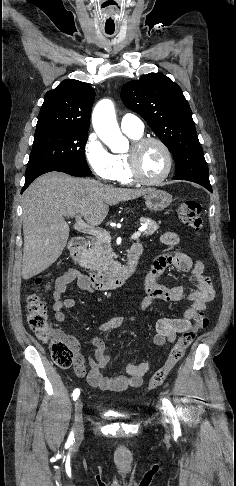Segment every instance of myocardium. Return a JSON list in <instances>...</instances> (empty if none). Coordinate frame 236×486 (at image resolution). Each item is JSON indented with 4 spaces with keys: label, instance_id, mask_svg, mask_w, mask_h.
<instances>
[{
    "label": "myocardium",
    "instance_id": "1",
    "mask_svg": "<svg viewBox=\"0 0 236 486\" xmlns=\"http://www.w3.org/2000/svg\"><path fill=\"white\" fill-rule=\"evenodd\" d=\"M157 144L158 146L161 147L163 150L165 157H166V168L163 174L156 178V179H147L145 178L139 168V154L141 150L149 145V144ZM127 156V162H128V167H129V172L130 176L133 179L134 182L143 184V185H158L165 181L168 176L170 175L172 168H173V155L169 147L160 139L154 138V137H144L140 138L138 140H135L129 152L126 154Z\"/></svg>",
    "mask_w": 236,
    "mask_h": 486
}]
</instances>
